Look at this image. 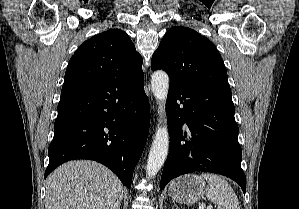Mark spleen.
Segmentation results:
<instances>
[{"mask_svg": "<svg viewBox=\"0 0 299 209\" xmlns=\"http://www.w3.org/2000/svg\"><path fill=\"white\" fill-rule=\"evenodd\" d=\"M208 185L205 188L207 198L217 205V209H240L239 200L231 185L216 174L203 173Z\"/></svg>", "mask_w": 299, "mask_h": 209, "instance_id": "3e777b00", "label": "spleen"}]
</instances>
